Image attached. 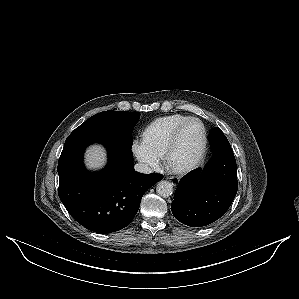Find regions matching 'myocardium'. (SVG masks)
Here are the masks:
<instances>
[{"mask_svg":"<svg viewBox=\"0 0 299 299\" xmlns=\"http://www.w3.org/2000/svg\"><path fill=\"white\" fill-rule=\"evenodd\" d=\"M192 122L199 123V125L201 126V129H202V143H201L199 153L193 161L186 164L185 166L178 167V168L173 167L170 164V154H171L172 150L174 149L178 135L186 125H188L189 123H192ZM206 147H207V132H206V128H205L203 122L201 120H199L198 118L190 117V118L186 119L184 122H182L172 133V135L165 147L164 153H163L164 165L169 171H171L177 175L186 174V173L190 172L191 170L195 169L200 164V162L202 161V159L205 155Z\"/></svg>","mask_w":299,"mask_h":299,"instance_id":"1","label":"myocardium"}]
</instances>
